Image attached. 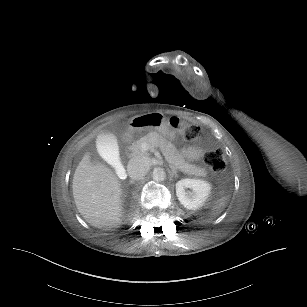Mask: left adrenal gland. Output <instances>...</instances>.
<instances>
[{
    "label": "left adrenal gland",
    "instance_id": "a2214340",
    "mask_svg": "<svg viewBox=\"0 0 307 307\" xmlns=\"http://www.w3.org/2000/svg\"><path fill=\"white\" fill-rule=\"evenodd\" d=\"M173 174L176 178L178 177L177 170H173Z\"/></svg>",
    "mask_w": 307,
    "mask_h": 307
}]
</instances>
